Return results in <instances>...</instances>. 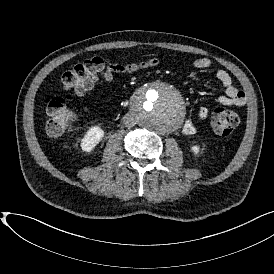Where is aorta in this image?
<instances>
[{"label": "aorta", "mask_w": 274, "mask_h": 274, "mask_svg": "<svg viewBox=\"0 0 274 274\" xmlns=\"http://www.w3.org/2000/svg\"><path fill=\"white\" fill-rule=\"evenodd\" d=\"M130 109L136 124L159 133L176 130L185 116L180 93L162 82L151 83L139 90L131 101Z\"/></svg>", "instance_id": "aorta-1"}]
</instances>
